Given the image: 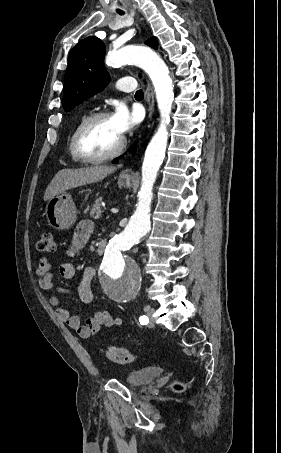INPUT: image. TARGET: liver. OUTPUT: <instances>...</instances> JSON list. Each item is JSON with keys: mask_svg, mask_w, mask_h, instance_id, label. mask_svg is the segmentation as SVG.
Instances as JSON below:
<instances>
[{"mask_svg": "<svg viewBox=\"0 0 281 453\" xmlns=\"http://www.w3.org/2000/svg\"><path fill=\"white\" fill-rule=\"evenodd\" d=\"M115 170H117V166H107V164H96V166H86V168H62L48 184L44 200H49L69 188L98 182Z\"/></svg>", "mask_w": 281, "mask_h": 453, "instance_id": "6515ba94", "label": "liver"}]
</instances>
